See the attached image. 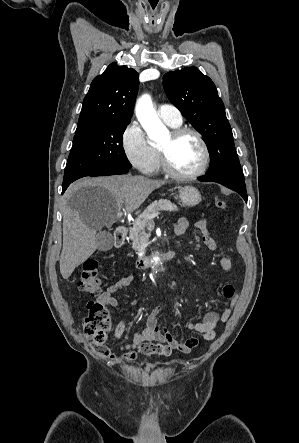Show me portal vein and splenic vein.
<instances>
[{"mask_svg":"<svg viewBox=\"0 0 299 443\" xmlns=\"http://www.w3.org/2000/svg\"><path fill=\"white\" fill-rule=\"evenodd\" d=\"M159 214H160V213H158V212H157V213H154V214L150 215V216L148 217V219L152 220V219H154L155 217H158ZM116 216H117V217H121V216H122V213H121V212H118Z\"/></svg>","mask_w":299,"mask_h":443,"instance_id":"18ae733b","label":"portal vein and splenic vein"}]
</instances>
